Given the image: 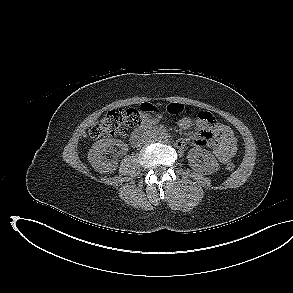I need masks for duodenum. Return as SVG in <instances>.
Returning <instances> with one entry per match:
<instances>
[{
    "instance_id": "1",
    "label": "duodenum",
    "mask_w": 293,
    "mask_h": 293,
    "mask_svg": "<svg viewBox=\"0 0 293 293\" xmlns=\"http://www.w3.org/2000/svg\"><path fill=\"white\" fill-rule=\"evenodd\" d=\"M165 134L166 131L163 129H154L151 126L143 125L132 133L130 137V142L133 146H139L143 142V140L149 136H162Z\"/></svg>"
}]
</instances>
